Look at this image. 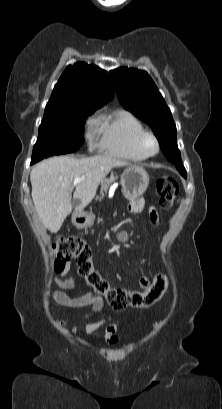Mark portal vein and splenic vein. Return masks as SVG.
<instances>
[{
	"label": "portal vein and splenic vein",
	"mask_w": 222,
	"mask_h": 409,
	"mask_svg": "<svg viewBox=\"0 0 222 409\" xmlns=\"http://www.w3.org/2000/svg\"><path fill=\"white\" fill-rule=\"evenodd\" d=\"M84 178H75L73 180V186L77 185L80 181H82Z\"/></svg>",
	"instance_id": "18ae733b"
}]
</instances>
